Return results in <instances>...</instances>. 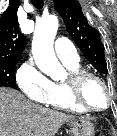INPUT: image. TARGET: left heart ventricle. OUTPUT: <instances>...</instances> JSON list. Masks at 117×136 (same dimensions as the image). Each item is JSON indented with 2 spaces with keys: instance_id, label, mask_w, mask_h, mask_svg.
<instances>
[{
  "instance_id": "left-heart-ventricle-1",
  "label": "left heart ventricle",
  "mask_w": 117,
  "mask_h": 136,
  "mask_svg": "<svg viewBox=\"0 0 117 136\" xmlns=\"http://www.w3.org/2000/svg\"><path fill=\"white\" fill-rule=\"evenodd\" d=\"M82 97L84 102L95 109L105 107L107 103V94L102 85L95 79H87L82 88Z\"/></svg>"
}]
</instances>
